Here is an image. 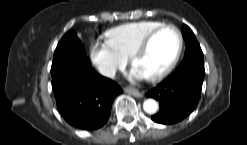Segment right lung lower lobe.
Wrapping results in <instances>:
<instances>
[{"label":"right lung lower lobe","instance_id":"98d812e1","mask_svg":"<svg viewBox=\"0 0 247 145\" xmlns=\"http://www.w3.org/2000/svg\"><path fill=\"white\" fill-rule=\"evenodd\" d=\"M57 107L74 127L95 130L109 118L114 98L122 93L114 81L96 73L86 55L66 57L51 67Z\"/></svg>","mask_w":247,"mask_h":145}]
</instances>
